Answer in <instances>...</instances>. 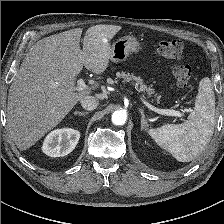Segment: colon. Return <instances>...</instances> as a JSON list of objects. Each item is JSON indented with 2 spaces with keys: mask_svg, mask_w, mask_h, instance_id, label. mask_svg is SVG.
<instances>
[{
  "mask_svg": "<svg viewBox=\"0 0 224 224\" xmlns=\"http://www.w3.org/2000/svg\"><path fill=\"white\" fill-rule=\"evenodd\" d=\"M158 53L170 60L177 61L173 69L175 80L179 87L187 89L192 78V67L185 62H181L184 54V44L180 40H164L157 46Z\"/></svg>",
  "mask_w": 224,
  "mask_h": 224,
  "instance_id": "1",
  "label": "colon"
}]
</instances>
